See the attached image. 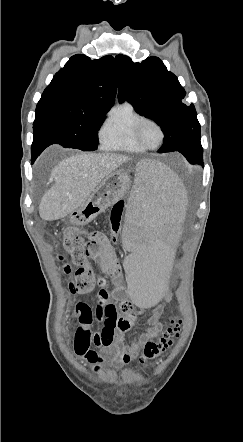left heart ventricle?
Wrapping results in <instances>:
<instances>
[{
	"mask_svg": "<svg viewBox=\"0 0 243 442\" xmlns=\"http://www.w3.org/2000/svg\"><path fill=\"white\" fill-rule=\"evenodd\" d=\"M140 135L142 140L150 146L156 145L160 140V132L152 123H146L142 126Z\"/></svg>",
	"mask_w": 243,
	"mask_h": 442,
	"instance_id": "left-heart-ventricle-1",
	"label": "left heart ventricle"
}]
</instances>
